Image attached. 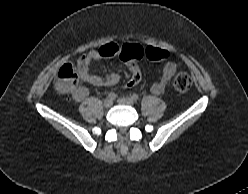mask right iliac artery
<instances>
[{
  "instance_id": "1",
  "label": "right iliac artery",
  "mask_w": 248,
  "mask_h": 194,
  "mask_svg": "<svg viewBox=\"0 0 248 194\" xmlns=\"http://www.w3.org/2000/svg\"><path fill=\"white\" fill-rule=\"evenodd\" d=\"M108 97H109L111 100H115L116 97H117V95H116L115 93L111 92V93L108 94Z\"/></svg>"
}]
</instances>
